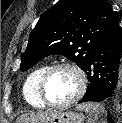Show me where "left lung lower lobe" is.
Masks as SVG:
<instances>
[{"label":"left lung lower lobe","instance_id":"obj_1","mask_svg":"<svg viewBox=\"0 0 122 123\" xmlns=\"http://www.w3.org/2000/svg\"><path fill=\"white\" fill-rule=\"evenodd\" d=\"M122 33L117 19L94 48L84 69L89 85L79 103L114 101L120 91Z\"/></svg>","mask_w":122,"mask_h":123}]
</instances>
